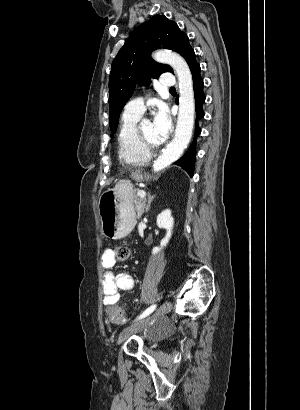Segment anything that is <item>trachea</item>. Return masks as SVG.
I'll use <instances>...</instances> for the list:
<instances>
[{"instance_id": "3493384b", "label": "trachea", "mask_w": 300, "mask_h": 410, "mask_svg": "<svg viewBox=\"0 0 300 410\" xmlns=\"http://www.w3.org/2000/svg\"><path fill=\"white\" fill-rule=\"evenodd\" d=\"M170 91H175V88H173V87H172V88H170Z\"/></svg>"}]
</instances>
